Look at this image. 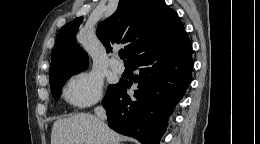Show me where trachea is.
<instances>
[{
    "label": "trachea",
    "instance_id": "trachea-1",
    "mask_svg": "<svg viewBox=\"0 0 260 144\" xmlns=\"http://www.w3.org/2000/svg\"><path fill=\"white\" fill-rule=\"evenodd\" d=\"M119 56H120L121 59L125 60L126 55H125V51L123 49H121L119 51Z\"/></svg>",
    "mask_w": 260,
    "mask_h": 144
}]
</instances>
